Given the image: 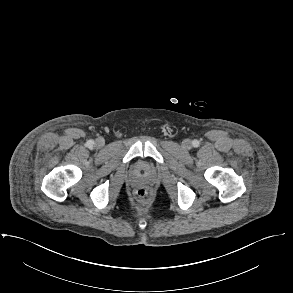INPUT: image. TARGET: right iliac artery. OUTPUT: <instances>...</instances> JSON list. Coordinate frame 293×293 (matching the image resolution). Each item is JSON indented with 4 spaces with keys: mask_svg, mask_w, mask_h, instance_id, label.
<instances>
[{
    "mask_svg": "<svg viewBox=\"0 0 293 293\" xmlns=\"http://www.w3.org/2000/svg\"><path fill=\"white\" fill-rule=\"evenodd\" d=\"M93 144H94V141H93V140H89V141L87 142V146H89V147H92Z\"/></svg>",
    "mask_w": 293,
    "mask_h": 293,
    "instance_id": "right-iliac-artery-1",
    "label": "right iliac artery"
}]
</instances>
